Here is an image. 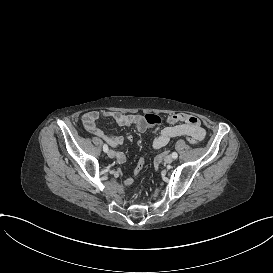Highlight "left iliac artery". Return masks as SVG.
Segmentation results:
<instances>
[{"mask_svg": "<svg viewBox=\"0 0 273 273\" xmlns=\"http://www.w3.org/2000/svg\"><path fill=\"white\" fill-rule=\"evenodd\" d=\"M178 157V154L176 152L172 153V158L176 159Z\"/></svg>", "mask_w": 273, "mask_h": 273, "instance_id": "obj_1", "label": "left iliac artery"}]
</instances>
